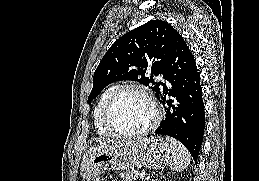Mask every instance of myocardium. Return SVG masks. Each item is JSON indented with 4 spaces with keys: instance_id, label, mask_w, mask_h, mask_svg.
Segmentation results:
<instances>
[{
    "instance_id": "1",
    "label": "myocardium",
    "mask_w": 259,
    "mask_h": 181,
    "mask_svg": "<svg viewBox=\"0 0 259 181\" xmlns=\"http://www.w3.org/2000/svg\"><path fill=\"white\" fill-rule=\"evenodd\" d=\"M126 91H138L141 94H143L145 98L148 100V102L150 103L153 111V117L151 121L144 128L137 131H132V132L120 131L113 125L111 121V114L115 106V103L119 98V96ZM161 118H162V111L155 97L153 96L152 92L146 86L137 84V83H130V84H125V85L116 87L114 91L110 94L109 98L107 99L104 105L103 114H102V120L105 127L112 133V135L122 137V138H135V137H141L146 135L159 124Z\"/></svg>"
}]
</instances>
